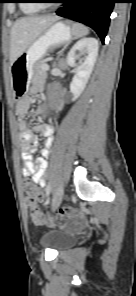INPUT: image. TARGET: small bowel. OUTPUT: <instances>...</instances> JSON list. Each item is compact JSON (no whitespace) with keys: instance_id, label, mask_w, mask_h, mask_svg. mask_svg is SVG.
<instances>
[{"instance_id":"obj_1","label":"small bowel","mask_w":136,"mask_h":296,"mask_svg":"<svg viewBox=\"0 0 136 296\" xmlns=\"http://www.w3.org/2000/svg\"><path fill=\"white\" fill-rule=\"evenodd\" d=\"M30 106V100L28 98H24L18 102L16 107L20 140L22 143V158L24 160L23 175L25 177H31L35 183H37L41 187H44L46 184V157L49 155V149L53 144V133L55 131V127L52 124L39 123L36 124L33 129L30 128L27 124V120L25 119ZM35 132L41 133L43 136L46 137V140L45 148L42 150V156L33 159L32 154L36 151L38 143V138L35 135Z\"/></svg>"}]
</instances>
